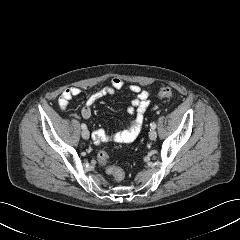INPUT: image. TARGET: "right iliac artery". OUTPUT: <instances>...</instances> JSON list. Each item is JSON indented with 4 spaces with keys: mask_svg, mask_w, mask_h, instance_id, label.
<instances>
[{
    "mask_svg": "<svg viewBox=\"0 0 240 240\" xmlns=\"http://www.w3.org/2000/svg\"><path fill=\"white\" fill-rule=\"evenodd\" d=\"M81 128H82V129H86V128H87L86 124H82V125H81Z\"/></svg>",
    "mask_w": 240,
    "mask_h": 240,
    "instance_id": "1",
    "label": "right iliac artery"
}]
</instances>
